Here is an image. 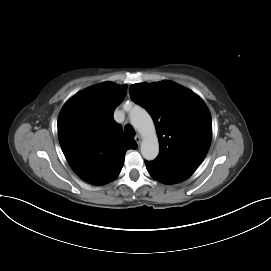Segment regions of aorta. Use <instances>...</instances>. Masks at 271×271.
<instances>
[{
  "mask_svg": "<svg viewBox=\"0 0 271 271\" xmlns=\"http://www.w3.org/2000/svg\"><path fill=\"white\" fill-rule=\"evenodd\" d=\"M129 117L131 124L142 135V156L146 160H154L159 153V142L151 116L145 109L137 106L130 112Z\"/></svg>",
  "mask_w": 271,
  "mask_h": 271,
  "instance_id": "762f6f07",
  "label": "aorta"
}]
</instances>
